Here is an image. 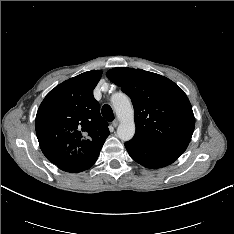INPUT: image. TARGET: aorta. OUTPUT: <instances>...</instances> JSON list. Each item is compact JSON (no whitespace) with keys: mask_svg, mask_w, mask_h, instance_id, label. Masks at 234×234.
Instances as JSON below:
<instances>
[{"mask_svg":"<svg viewBox=\"0 0 234 234\" xmlns=\"http://www.w3.org/2000/svg\"><path fill=\"white\" fill-rule=\"evenodd\" d=\"M112 104L120 121L117 135L123 141H129L135 134L134 110L127 95L117 93L112 97Z\"/></svg>","mask_w":234,"mask_h":234,"instance_id":"1","label":"aorta"}]
</instances>
